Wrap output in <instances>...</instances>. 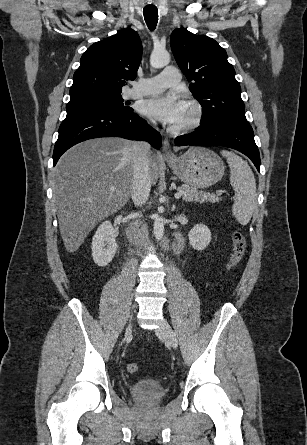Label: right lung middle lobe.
I'll list each match as a JSON object with an SVG mask.
<instances>
[{"label": "right lung middle lobe", "mask_w": 307, "mask_h": 445, "mask_svg": "<svg viewBox=\"0 0 307 445\" xmlns=\"http://www.w3.org/2000/svg\"><path fill=\"white\" fill-rule=\"evenodd\" d=\"M129 103H123L121 94L118 95H97L70 99L66 106L67 112L76 109L86 108H109L121 109L127 112H133V109L127 107Z\"/></svg>", "instance_id": "1"}]
</instances>
